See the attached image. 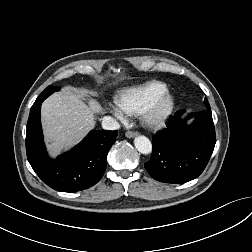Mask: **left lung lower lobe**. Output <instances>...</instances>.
I'll list each match as a JSON object with an SVG mask.
<instances>
[{
  "instance_id": "left-lung-lower-lobe-1",
  "label": "left lung lower lobe",
  "mask_w": 252,
  "mask_h": 252,
  "mask_svg": "<svg viewBox=\"0 0 252 252\" xmlns=\"http://www.w3.org/2000/svg\"><path fill=\"white\" fill-rule=\"evenodd\" d=\"M183 113L178 111L152 139V156L145 168L158 181L178 184L197 178L213 153L216 136L211 109L190 113L185 119ZM192 117L195 120L187 125Z\"/></svg>"
}]
</instances>
